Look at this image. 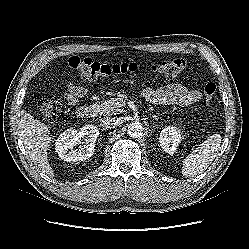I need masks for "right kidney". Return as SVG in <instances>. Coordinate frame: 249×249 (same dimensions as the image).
<instances>
[{"instance_id":"1","label":"right kidney","mask_w":249,"mask_h":249,"mask_svg":"<svg viewBox=\"0 0 249 249\" xmlns=\"http://www.w3.org/2000/svg\"><path fill=\"white\" fill-rule=\"evenodd\" d=\"M98 136L99 130L93 125H85L78 131L68 129L56 139L55 150L64 161H83L93 155ZM81 139H84V145L76 149L75 146L81 143Z\"/></svg>"}]
</instances>
